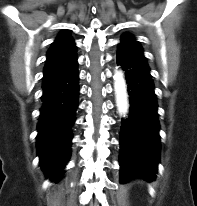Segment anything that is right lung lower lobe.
I'll return each mask as SVG.
<instances>
[{
	"mask_svg": "<svg viewBox=\"0 0 197 206\" xmlns=\"http://www.w3.org/2000/svg\"><path fill=\"white\" fill-rule=\"evenodd\" d=\"M77 58L58 77L43 85L37 150L47 177L62 175L71 154L72 125L78 107Z\"/></svg>",
	"mask_w": 197,
	"mask_h": 206,
	"instance_id": "98d812e1",
	"label": "right lung lower lobe"
}]
</instances>
